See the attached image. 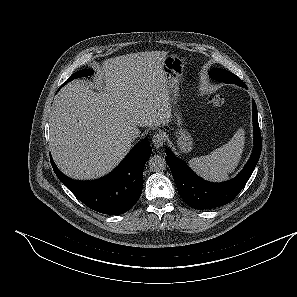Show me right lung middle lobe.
I'll use <instances>...</instances> for the list:
<instances>
[{
    "label": "right lung middle lobe",
    "mask_w": 297,
    "mask_h": 297,
    "mask_svg": "<svg viewBox=\"0 0 297 297\" xmlns=\"http://www.w3.org/2000/svg\"><path fill=\"white\" fill-rule=\"evenodd\" d=\"M92 73L93 72L91 70H81V71H78V72L72 74V76L68 79V81H71L74 78L87 77V76L92 75ZM66 83H67V81L64 84H66Z\"/></svg>",
    "instance_id": "1"
}]
</instances>
